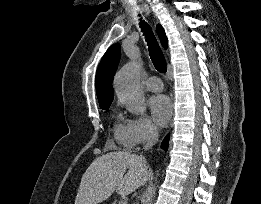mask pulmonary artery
<instances>
[{
	"label": "pulmonary artery",
	"mask_w": 261,
	"mask_h": 204,
	"mask_svg": "<svg viewBox=\"0 0 261 204\" xmlns=\"http://www.w3.org/2000/svg\"><path fill=\"white\" fill-rule=\"evenodd\" d=\"M145 86L148 90L153 92H160L163 89V83L157 76L149 77L145 82Z\"/></svg>",
	"instance_id": "pulmonary-artery-1"
}]
</instances>
